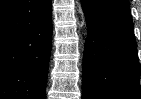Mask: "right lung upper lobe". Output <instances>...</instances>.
Segmentation results:
<instances>
[{"instance_id": "cb5924a9", "label": "right lung upper lobe", "mask_w": 141, "mask_h": 99, "mask_svg": "<svg viewBox=\"0 0 141 99\" xmlns=\"http://www.w3.org/2000/svg\"><path fill=\"white\" fill-rule=\"evenodd\" d=\"M13 1L14 0H0V7L5 6Z\"/></svg>"}]
</instances>
